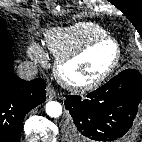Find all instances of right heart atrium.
I'll return each instance as SVG.
<instances>
[{
  "label": "right heart atrium",
  "instance_id": "right-heart-atrium-1",
  "mask_svg": "<svg viewBox=\"0 0 142 142\" xmlns=\"http://www.w3.org/2000/svg\"><path fill=\"white\" fill-rule=\"evenodd\" d=\"M29 57L37 63H44L46 56L40 46L32 44L28 49Z\"/></svg>",
  "mask_w": 142,
  "mask_h": 142
}]
</instances>
